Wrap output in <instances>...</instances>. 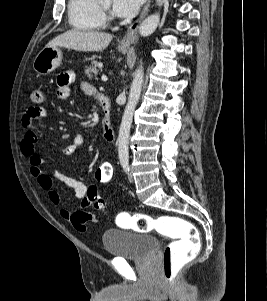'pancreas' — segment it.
Here are the masks:
<instances>
[{
	"label": "pancreas",
	"mask_w": 267,
	"mask_h": 301,
	"mask_svg": "<svg viewBox=\"0 0 267 301\" xmlns=\"http://www.w3.org/2000/svg\"><path fill=\"white\" fill-rule=\"evenodd\" d=\"M103 64L97 61H92L91 65L86 67L85 73L89 79L96 77L98 73L102 70Z\"/></svg>",
	"instance_id": "obj_1"
}]
</instances>
